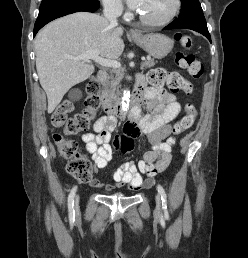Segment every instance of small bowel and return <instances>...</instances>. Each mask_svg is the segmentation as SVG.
<instances>
[{
	"label": "small bowel",
	"instance_id": "c3829d8e",
	"mask_svg": "<svg viewBox=\"0 0 248 258\" xmlns=\"http://www.w3.org/2000/svg\"><path fill=\"white\" fill-rule=\"evenodd\" d=\"M144 83V98L140 101V108L124 125V132L131 139L142 138L150 144V149L143 154L136 164L133 161L124 162L113 173L114 185L105 184L99 180L93 186L112 191L115 188L128 186L138 190L156 187L153 177H144L147 169L154 165L156 171L162 172L171 160V148L175 138L171 136L172 121L178 116L181 106L173 93L162 86H146V80L139 76ZM142 108L147 113L142 112ZM116 120L111 116L98 118L93 124V132L82 135L87 152L98 169L105 168L112 159L109 144L111 133L116 127Z\"/></svg>",
	"mask_w": 248,
	"mask_h": 258
}]
</instances>
